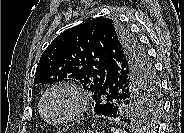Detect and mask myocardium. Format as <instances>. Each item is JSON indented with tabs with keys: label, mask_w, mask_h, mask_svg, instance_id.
Wrapping results in <instances>:
<instances>
[{
	"label": "myocardium",
	"mask_w": 184,
	"mask_h": 133,
	"mask_svg": "<svg viewBox=\"0 0 184 133\" xmlns=\"http://www.w3.org/2000/svg\"><path fill=\"white\" fill-rule=\"evenodd\" d=\"M57 90H64L67 91L68 93H70L75 101V106L73 111L60 119H53L51 118L46 111V101L48 99V97L55 91ZM86 106H87V100H86V96L85 93L83 92V90L77 86L76 84L73 83H68V82H63V83H58L55 84L53 86H51L43 95L40 104H39V110L41 115L43 116V118L48 122L51 123L53 125H64V124H68L71 123L73 121H76L78 118H80L83 113L86 110Z\"/></svg>",
	"instance_id": "1"
}]
</instances>
